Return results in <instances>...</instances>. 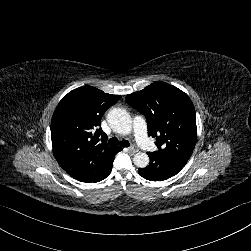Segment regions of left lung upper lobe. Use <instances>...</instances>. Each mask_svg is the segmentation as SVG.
Masks as SVG:
<instances>
[{
	"instance_id": "5c2ea615",
	"label": "left lung upper lobe",
	"mask_w": 251,
	"mask_h": 251,
	"mask_svg": "<svg viewBox=\"0 0 251 251\" xmlns=\"http://www.w3.org/2000/svg\"><path fill=\"white\" fill-rule=\"evenodd\" d=\"M126 101L146 117L148 134L156 137V152L187 163L197 138L195 109L188 95L168 83L155 82L128 94Z\"/></svg>"
}]
</instances>
